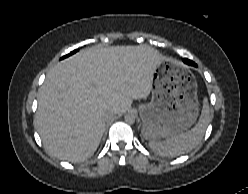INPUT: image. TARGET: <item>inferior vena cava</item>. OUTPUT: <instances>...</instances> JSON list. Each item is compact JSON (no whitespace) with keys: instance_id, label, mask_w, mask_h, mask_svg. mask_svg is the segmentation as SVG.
Instances as JSON below:
<instances>
[{"instance_id":"602c4592","label":"inferior vena cava","mask_w":248,"mask_h":194,"mask_svg":"<svg viewBox=\"0 0 248 194\" xmlns=\"http://www.w3.org/2000/svg\"><path fill=\"white\" fill-rule=\"evenodd\" d=\"M114 112H109L108 114L105 115V120H110L114 116Z\"/></svg>"}]
</instances>
